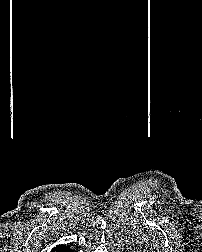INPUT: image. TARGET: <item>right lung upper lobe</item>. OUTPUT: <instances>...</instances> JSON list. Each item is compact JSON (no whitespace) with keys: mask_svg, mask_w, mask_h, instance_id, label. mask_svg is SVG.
Instances as JSON below:
<instances>
[{"mask_svg":"<svg viewBox=\"0 0 202 252\" xmlns=\"http://www.w3.org/2000/svg\"><path fill=\"white\" fill-rule=\"evenodd\" d=\"M63 246H65V245H58V246H56L54 249H52L51 252H57V250H60V252H63V249H61ZM58 252H59V251H58Z\"/></svg>","mask_w":202,"mask_h":252,"instance_id":"cb5924a9","label":"right lung upper lobe"}]
</instances>
